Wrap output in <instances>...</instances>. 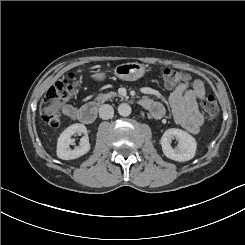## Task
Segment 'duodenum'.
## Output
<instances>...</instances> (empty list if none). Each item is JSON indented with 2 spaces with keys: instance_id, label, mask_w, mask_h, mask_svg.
<instances>
[{
  "instance_id": "1",
  "label": "duodenum",
  "mask_w": 245,
  "mask_h": 245,
  "mask_svg": "<svg viewBox=\"0 0 245 245\" xmlns=\"http://www.w3.org/2000/svg\"><path fill=\"white\" fill-rule=\"evenodd\" d=\"M96 117L97 109L92 104H86L82 106L78 112V119L85 124L93 123Z\"/></svg>"
}]
</instances>
